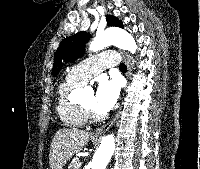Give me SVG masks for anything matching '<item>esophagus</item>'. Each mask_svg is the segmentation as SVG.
<instances>
[{
	"label": "esophagus",
	"mask_w": 200,
	"mask_h": 169,
	"mask_svg": "<svg viewBox=\"0 0 200 169\" xmlns=\"http://www.w3.org/2000/svg\"><path fill=\"white\" fill-rule=\"evenodd\" d=\"M121 54H122V57H123L125 64L127 65L126 77L129 80L131 78L132 64H131L128 56L125 53L121 52ZM119 114H120V111L108 123L102 125L98 129H96L95 132L93 133V135L94 136H100V135L104 134L115 123Z\"/></svg>",
	"instance_id": "obj_1"
}]
</instances>
